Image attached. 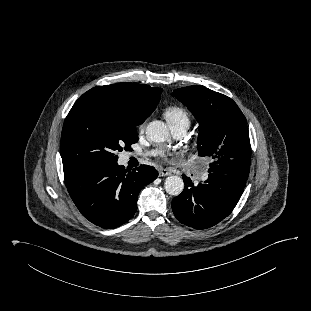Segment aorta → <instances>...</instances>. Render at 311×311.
Here are the masks:
<instances>
[{"label": "aorta", "mask_w": 311, "mask_h": 311, "mask_svg": "<svg viewBox=\"0 0 311 311\" xmlns=\"http://www.w3.org/2000/svg\"><path fill=\"white\" fill-rule=\"evenodd\" d=\"M146 136L152 142H164L169 138V130L164 122L152 121L146 127ZM164 188L169 195L178 196L184 189L183 179L176 175L169 176L164 182Z\"/></svg>", "instance_id": "obj_1"}]
</instances>
